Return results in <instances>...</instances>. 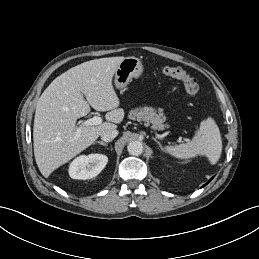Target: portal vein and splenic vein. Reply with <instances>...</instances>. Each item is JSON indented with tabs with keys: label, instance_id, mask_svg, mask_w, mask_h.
Instances as JSON below:
<instances>
[{
	"label": "portal vein and splenic vein",
	"instance_id": "1",
	"mask_svg": "<svg viewBox=\"0 0 259 259\" xmlns=\"http://www.w3.org/2000/svg\"><path fill=\"white\" fill-rule=\"evenodd\" d=\"M102 123V119L100 116H94L82 123V126H92V125H99ZM80 135V127L77 129L76 138Z\"/></svg>",
	"mask_w": 259,
	"mask_h": 259
}]
</instances>
